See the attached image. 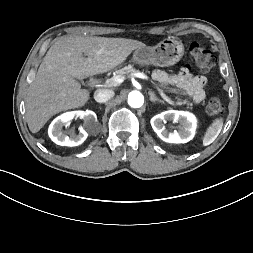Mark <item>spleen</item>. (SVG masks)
Listing matches in <instances>:
<instances>
[{
    "mask_svg": "<svg viewBox=\"0 0 253 253\" xmlns=\"http://www.w3.org/2000/svg\"><path fill=\"white\" fill-rule=\"evenodd\" d=\"M223 127V119L215 120L207 129L203 137V145H210L220 134Z\"/></svg>",
    "mask_w": 253,
    "mask_h": 253,
    "instance_id": "1",
    "label": "spleen"
}]
</instances>
